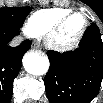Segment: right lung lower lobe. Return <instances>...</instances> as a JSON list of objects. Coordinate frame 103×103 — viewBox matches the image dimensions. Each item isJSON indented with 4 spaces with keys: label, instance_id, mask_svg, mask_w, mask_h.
I'll return each mask as SVG.
<instances>
[{
    "label": "right lung lower lobe",
    "instance_id": "1",
    "mask_svg": "<svg viewBox=\"0 0 103 103\" xmlns=\"http://www.w3.org/2000/svg\"><path fill=\"white\" fill-rule=\"evenodd\" d=\"M19 29L0 26V102H9L12 97L13 81L21 68L22 57L31 42L25 40L17 47L9 46Z\"/></svg>",
    "mask_w": 103,
    "mask_h": 103
}]
</instances>
